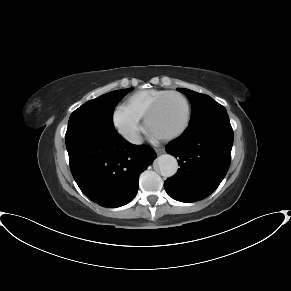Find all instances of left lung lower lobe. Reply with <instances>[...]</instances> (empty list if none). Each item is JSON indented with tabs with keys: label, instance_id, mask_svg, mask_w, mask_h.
Returning a JSON list of instances; mask_svg holds the SVG:
<instances>
[{
	"label": "left lung lower lobe",
	"instance_id": "obj_1",
	"mask_svg": "<svg viewBox=\"0 0 291 291\" xmlns=\"http://www.w3.org/2000/svg\"><path fill=\"white\" fill-rule=\"evenodd\" d=\"M232 145L233 130L227 113L187 128L166 146V152L178 158L180 165L164 183L168 195L186 203L209 196L228 171Z\"/></svg>",
	"mask_w": 291,
	"mask_h": 291
}]
</instances>
